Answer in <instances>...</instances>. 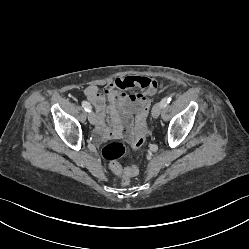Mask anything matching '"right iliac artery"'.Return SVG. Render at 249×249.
<instances>
[{"instance_id":"1","label":"right iliac artery","mask_w":249,"mask_h":249,"mask_svg":"<svg viewBox=\"0 0 249 249\" xmlns=\"http://www.w3.org/2000/svg\"><path fill=\"white\" fill-rule=\"evenodd\" d=\"M82 107L85 111L90 112L92 107L87 101H82Z\"/></svg>"}]
</instances>
